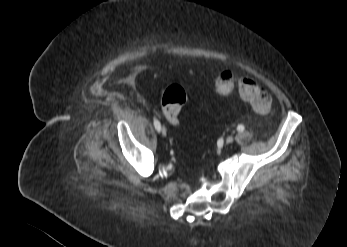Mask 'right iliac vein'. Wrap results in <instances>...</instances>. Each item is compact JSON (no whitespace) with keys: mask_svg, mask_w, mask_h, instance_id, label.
Here are the masks:
<instances>
[{"mask_svg":"<svg viewBox=\"0 0 347 247\" xmlns=\"http://www.w3.org/2000/svg\"><path fill=\"white\" fill-rule=\"evenodd\" d=\"M161 132H162V135L166 136L167 130L164 126L161 128Z\"/></svg>","mask_w":347,"mask_h":247,"instance_id":"1","label":"right iliac vein"}]
</instances>
